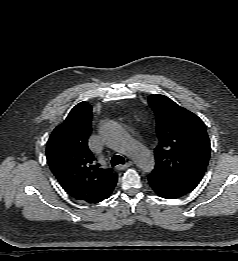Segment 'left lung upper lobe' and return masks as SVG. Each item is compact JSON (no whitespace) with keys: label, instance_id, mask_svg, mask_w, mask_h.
Here are the masks:
<instances>
[{"label":"left lung upper lobe","instance_id":"left-lung-upper-lobe-1","mask_svg":"<svg viewBox=\"0 0 238 261\" xmlns=\"http://www.w3.org/2000/svg\"><path fill=\"white\" fill-rule=\"evenodd\" d=\"M149 103L159 139L149 176L185 195L199 184L210 158L205 124L164 95H150Z\"/></svg>","mask_w":238,"mask_h":261}]
</instances>
